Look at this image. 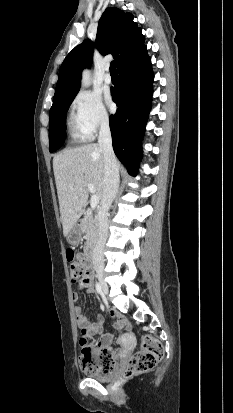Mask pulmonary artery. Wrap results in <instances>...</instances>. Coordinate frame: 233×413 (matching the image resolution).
Instances as JSON below:
<instances>
[{"instance_id":"1","label":"pulmonary artery","mask_w":233,"mask_h":413,"mask_svg":"<svg viewBox=\"0 0 233 413\" xmlns=\"http://www.w3.org/2000/svg\"><path fill=\"white\" fill-rule=\"evenodd\" d=\"M103 80H104V82H105L106 84H111V83H112V77H111V75H110V73H109L108 67L106 68V73H105V75H104V77H103Z\"/></svg>"}]
</instances>
